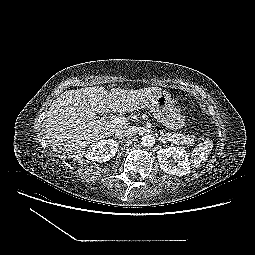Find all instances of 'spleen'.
<instances>
[{
  "mask_svg": "<svg viewBox=\"0 0 255 255\" xmlns=\"http://www.w3.org/2000/svg\"><path fill=\"white\" fill-rule=\"evenodd\" d=\"M213 148V142L210 139L200 143L193 149L191 154V163L194 168L199 167L203 161H205Z\"/></svg>",
  "mask_w": 255,
  "mask_h": 255,
  "instance_id": "obj_1",
  "label": "spleen"
}]
</instances>
